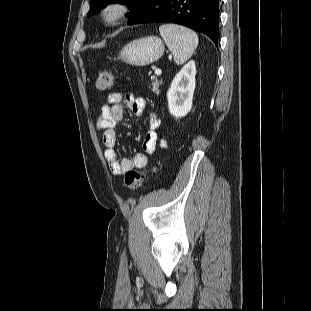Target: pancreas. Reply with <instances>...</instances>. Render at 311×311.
Listing matches in <instances>:
<instances>
[{
  "label": "pancreas",
  "instance_id": "cf45deb5",
  "mask_svg": "<svg viewBox=\"0 0 311 311\" xmlns=\"http://www.w3.org/2000/svg\"><path fill=\"white\" fill-rule=\"evenodd\" d=\"M162 84V80H157V79H155V80H153L152 81V91L154 92V93H157V94H159V92H160V90H159V86Z\"/></svg>",
  "mask_w": 311,
  "mask_h": 311
}]
</instances>
